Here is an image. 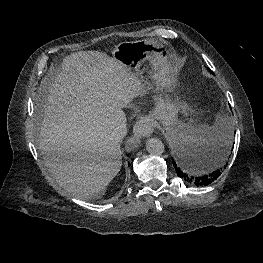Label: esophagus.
Masks as SVG:
<instances>
[{
	"label": "esophagus",
	"instance_id": "34e87169",
	"mask_svg": "<svg viewBox=\"0 0 263 263\" xmlns=\"http://www.w3.org/2000/svg\"><path fill=\"white\" fill-rule=\"evenodd\" d=\"M153 132V124L148 119H139L133 128V137L130 139V143L136 145L142 137H148Z\"/></svg>",
	"mask_w": 263,
	"mask_h": 263
}]
</instances>
